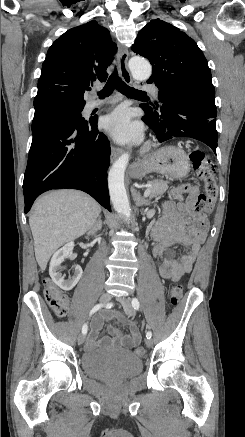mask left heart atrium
Here are the masks:
<instances>
[{
    "label": "left heart atrium",
    "mask_w": 245,
    "mask_h": 437,
    "mask_svg": "<svg viewBox=\"0 0 245 437\" xmlns=\"http://www.w3.org/2000/svg\"><path fill=\"white\" fill-rule=\"evenodd\" d=\"M105 132L115 141L126 143L139 137L140 127L131 120L126 108H117L103 118Z\"/></svg>",
    "instance_id": "39dd6f15"
}]
</instances>
